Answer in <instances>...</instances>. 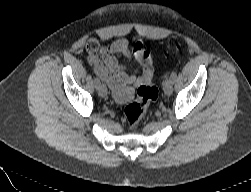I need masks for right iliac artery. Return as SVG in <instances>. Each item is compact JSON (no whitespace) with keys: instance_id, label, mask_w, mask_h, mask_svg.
Returning a JSON list of instances; mask_svg holds the SVG:
<instances>
[{"instance_id":"1","label":"right iliac artery","mask_w":251,"mask_h":192,"mask_svg":"<svg viewBox=\"0 0 251 192\" xmlns=\"http://www.w3.org/2000/svg\"><path fill=\"white\" fill-rule=\"evenodd\" d=\"M94 83H95L96 88L100 85V81L97 77L94 78Z\"/></svg>"}]
</instances>
